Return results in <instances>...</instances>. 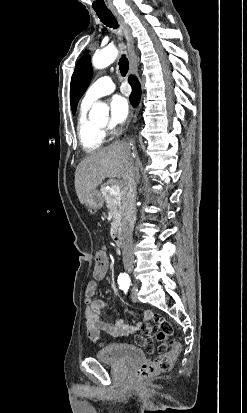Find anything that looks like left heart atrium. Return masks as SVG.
Masks as SVG:
<instances>
[{"label":"left heart atrium","instance_id":"1","mask_svg":"<svg viewBox=\"0 0 247 413\" xmlns=\"http://www.w3.org/2000/svg\"><path fill=\"white\" fill-rule=\"evenodd\" d=\"M113 125H121L128 114V104L126 99L120 94L113 95L109 100Z\"/></svg>","mask_w":247,"mask_h":413}]
</instances>
